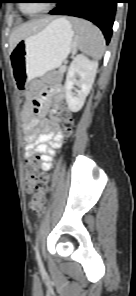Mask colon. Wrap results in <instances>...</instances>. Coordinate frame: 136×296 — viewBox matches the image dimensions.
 <instances>
[{
    "label": "colon",
    "mask_w": 136,
    "mask_h": 296,
    "mask_svg": "<svg viewBox=\"0 0 136 296\" xmlns=\"http://www.w3.org/2000/svg\"><path fill=\"white\" fill-rule=\"evenodd\" d=\"M64 119V134L69 135L73 126L71 114L66 109L60 111ZM37 158H32L28 162L27 182L34 192L30 201V208L34 212L40 211L46 202V196L50 187V176L46 173L36 172Z\"/></svg>",
    "instance_id": "5ec220e1"
}]
</instances>
